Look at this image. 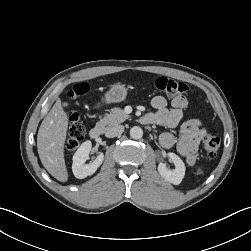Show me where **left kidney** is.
<instances>
[{
	"mask_svg": "<svg viewBox=\"0 0 251 251\" xmlns=\"http://www.w3.org/2000/svg\"><path fill=\"white\" fill-rule=\"evenodd\" d=\"M168 156L174 163L175 168L170 170L164 163H160L158 165V172L166 181L174 185H179L185 175V164L175 153H168Z\"/></svg>",
	"mask_w": 251,
	"mask_h": 251,
	"instance_id": "left-kidney-1",
	"label": "left kidney"
}]
</instances>
